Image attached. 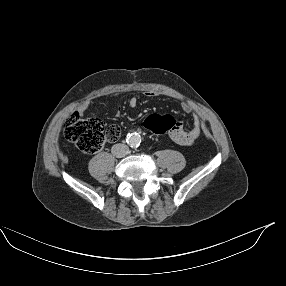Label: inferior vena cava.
<instances>
[{"mask_svg": "<svg viewBox=\"0 0 286 286\" xmlns=\"http://www.w3.org/2000/svg\"><path fill=\"white\" fill-rule=\"evenodd\" d=\"M111 152L117 158H122L129 153V148L125 144L118 143L112 146Z\"/></svg>", "mask_w": 286, "mask_h": 286, "instance_id": "inferior-vena-cava-1", "label": "inferior vena cava"}]
</instances>
